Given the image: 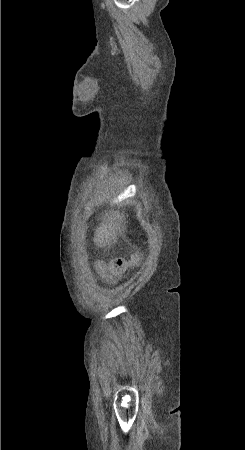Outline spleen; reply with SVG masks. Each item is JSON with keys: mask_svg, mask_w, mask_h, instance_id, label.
Here are the masks:
<instances>
[{"mask_svg": "<svg viewBox=\"0 0 245 450\" xmlns=\"http://www.w3.org/2000/svg\"><path fill=\"white\" fill-rule=\"evenodd\" d=\"M125 217L119 211L111 210L102 217V223L95 231L94 242L97 246L108 248L117 242V235L124 230Z\"/></svg>", "mask_w": 245, "mask_h": 450, "instance_id": "spleen-1", "label": "spleen"}]
</instances>
